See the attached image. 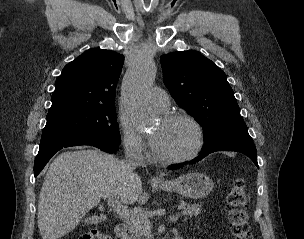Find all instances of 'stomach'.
Listing matches in <instances>:
<instances>
[{"label":"stomach","instance_id":"stomach-1","mask_svg":"<svg viewBox=\"0 0 304 239\" xmlns=\"http://www.w3.org/2000/svg\"><path fill=\"white\" fill-rule=\"evenodd\" d=\"M213 186V181L200 172H189L161 184V188L165 191L176 192L192 199L207 196L212 191Z\"/></svg>","mask_w":304,"mask_h":239}]
</instances>
